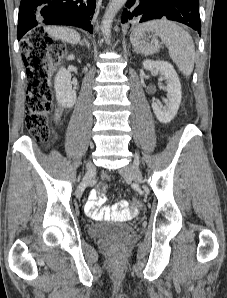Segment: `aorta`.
I'll return each instance as SVG.
<instances>
[{"label":"aorta","instance_id":"1","mask_svg":"<svg viewBox=\"0 0 227 298\" xmlns=\"http://www.w3.org/2000/svg\"><path fill=\"white\" fill-rule=\"evenodd\" d=\"M127 0H110L105 14L103 16L101 31L103 36L108 39L111 34V25L115 15L121 9V7L126 3Z\"/></svg>","mask_w":227,"mask_h":298}]
</instances>
